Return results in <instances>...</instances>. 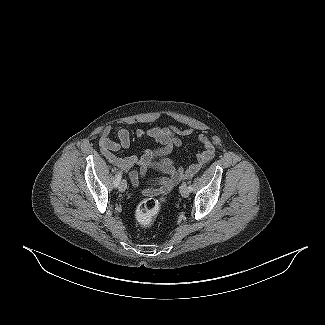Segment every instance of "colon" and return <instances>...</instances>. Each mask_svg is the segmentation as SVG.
<instances>
[{
    "mask_svg": "<svg viewBox=\"0 0 325 325\" xmlns=\"http://www.w3.org/2000/svg\"><path fill=\"white\" fill-rule=\"evenodd\" d=\"M146 194L152 195L153 192L148 190ZM163 201V196L159 197L158 199L148 197L142 201L135 212V219L137 223L142 227H148L158 215Z\"/></svg>",
    "mask_w": 325,
    "mask_h": 325,
    "instance_id": "5ec220e1",
    "label": "colon"
}]
</instances>
